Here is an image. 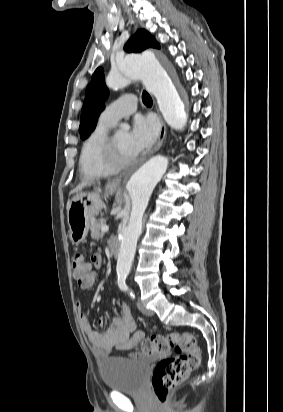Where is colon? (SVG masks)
Returning a JSON list of instances; mask_svg holds the SVG:
<instances>
[{
  "label": "colon",
  "mask_w": 283,
  "mask_h": 412,
  "mask_svg": "<svg viewBox=\"0 0 283 412\" xmlns=\"http://www.w3.org/2000/svg\"><path fill=\"white\" fill-rule=\"evenodd\" d=\"M98 259L94 256L87 261L82 255L72 259L73 277L81 283L96 269ZM173 348L177 355L163 358L155 367L152 376V390L158 404H165L172 389L185 381L201 361V350L197 346L194 333L189 331L156 335L141 342L144 355H160Z\"/></svg>",
  "instance_id": "obj_1"
}]
</instances>
